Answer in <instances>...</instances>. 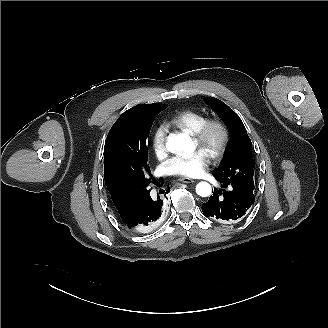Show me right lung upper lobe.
<instances>
[{
	"mask_svg": "<svg viewBox=\"0 0 328 328\" xmlns=\"http://www.w3.org/2000/svg\"><path fill=\"white\" fill-rule=\"evenodd\" d=\"M158 105L168 106L167 104H158ZM105 182L121 219L123 221L129 220V218L133 216V213L135 212L138 205L140 204V200L131 199L122 195L109 181H105Z\"/></svg>",
	"mask_w": 328,
	"mask_h": 328,
	"instance_id": "1",
	"label": "right lung upper lobe"
}]
</instances>
